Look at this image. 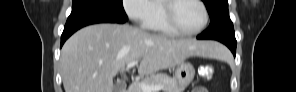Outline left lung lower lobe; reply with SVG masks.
Segmentation results:
<instances>
[{
  "label": "left lung lower lobe",
  "instance_id": "obj_1",
  "mask_svg": "<svg viewBox=\"0 0 296 92\" xmlns=\"http://www.w3.org/2000/svg\"><path fill=\"white\" fill-rule=\"evenodd\" d=\"M197 39H206L205 35L203 33L199 34L197 36ZM214 40H217V41H220L222 42L223 44H225L233 53V55L235 56L236 54V45H237V42H236V39H230V38H220V39H214Z\"/></svg>",
  "mask_w": 296,
  "mask_h": 92
}]
</instances>
